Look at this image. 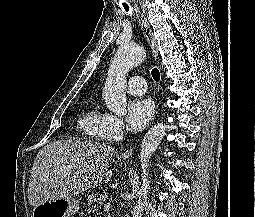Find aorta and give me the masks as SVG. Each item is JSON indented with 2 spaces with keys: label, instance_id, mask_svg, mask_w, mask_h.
<instances>
[{
  "label": "aorta",
  "instance_id": "aorta-1",
  "mask_svg": "<svg viewBox=\"0 0 255 217\" xmlns=\"http://www.w3.org/2000/svg\"><path fill=\"white\" fill-rule=\"evenodd\" d=\"M145 56L143 48L123 44L118 48L110 64L102 96L107 108L116 115H124L127 112L126 76L132 68L144 61ZM165 132L166 126L160 123L152 127L143 138L140 151L142 185L139 189L138 201L131 211L132 217H141L142 215L150 188L147 172L149 160L161 143Z\"/></svg>",
  "mask_w": 255,
  "mask_h": 217
}]
</instances>
